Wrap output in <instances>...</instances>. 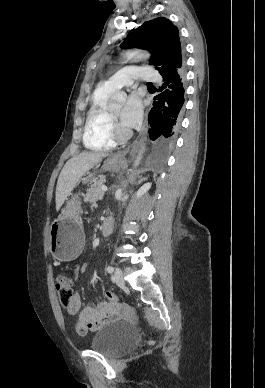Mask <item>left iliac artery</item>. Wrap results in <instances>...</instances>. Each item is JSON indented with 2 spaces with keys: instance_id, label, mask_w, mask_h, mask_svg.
<instances>
[{
  "instance_id": "44dca946",
  "label": "left iliac artery",
  "mask_w": 265,
  "mask_h": 388,
  "mask_svg": "<svg viewBox=\"0 0 265 388\" xmlns=\"http://www.w3.org/2000/svg\"><path fill=\"white\" fill-rule=\"evenodd\" d=\"M113 271H114V268H113L112 266L109 265V266L107 267V272H108V273H113Z\"/></svg>"
}]
</instances>
